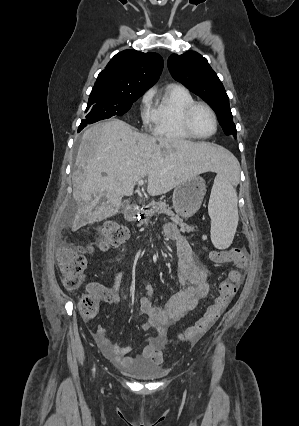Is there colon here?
<instances>
[{
	"label": "colon",
	"instance_id": "5ec220e1",
	"mask_svg": "<svg viewBox=\"0 0 299 426\" xmlns=\"http://www.w3.org/2000/svg\"><path fill=\"white\" fill-rule=\"evenodd\" d=\"M97 246L108 250L120 246L128 236L126 228L115 223L107 222L99 230ZM90 247L73 244H63L57 252L59 270L62 275L64 287L70 292H76L82 286L84 272L87 266L86 253ZM210 259L217 264L233 263L235 268L218 285L217 296L205 314L191 327L180 333L183 342H194L205 334L218 320L223 311L228 307L240 287L248 262V253L244 248H231L227 250H213ZM100 306V296L90 291L81 296L79 309L86 318L94 317Z\"/></svg>",
	"mask_w": 299,
	"mask_h": 426
}]
</instances>
